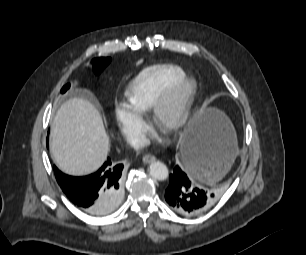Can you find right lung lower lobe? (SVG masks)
I'll list each match as a JSON object with an SVG mask.
<instances>
[{
  "label": "right lung lower lobe",
  "instance_id": "obj_1",
  "mask_svg": "<svg viewBox=\"0 0 306 255\" xmlns=\"http://www.w3.org/2000/svg\"><path fill=\"white\" fill-rule=\"evenodd\" d=\"M123 165L110 158L95 173L83 177L68 176L54 166L55 177L69 200L81 210L96 216L112 212L118 205Z\"/></svg>",
  "mask_w": 306,
  "mask_h": 255
}]
</instances>
